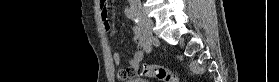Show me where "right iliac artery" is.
Returning <instances> with one entry per match:
<instances>
[{
    "label": "right iliac artery",
    "instance_id": "1",
    "mask_svg": "<svg viewBox=\"0 0 279 82\" xmlns=\"http://www.w3.org/2000/svg\"><path fill=\"white\" fill-rule=\"evenodd\" d=\"M125 15L133 20L141 29L143 37L146 39V53H150L151 51V41L149 40V31L146 28L144 22L140 19V17L131 9V8H125Z\"/></svg>",
    "mask_w": 279,
    "mask_h": 82
}]
</instances>
